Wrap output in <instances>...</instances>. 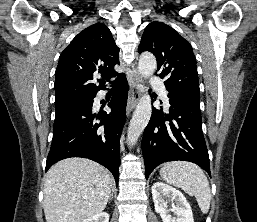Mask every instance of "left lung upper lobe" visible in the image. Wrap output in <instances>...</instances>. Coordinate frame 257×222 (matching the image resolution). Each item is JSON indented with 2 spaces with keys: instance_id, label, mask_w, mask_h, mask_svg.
I'll return each mask as SVG.
<instances>
[{
  "instance_id": "left-lung-upper-lobe-1",
  "label": "left lung upper lobe",
  "mask_w": 257,
  "mask_h": 222,
  "mask_svg": "<svg viewBox=\"0 0 257 222\" xmlns=\"http://www.w3.org/2000/svg\"><path fill=\"white\" fill-rule=\"evenodd\" d=\"M139 53L152 52L156 56L158 76L168 91L200 101L196 58L191 45L173 28L150 23L143 33Z\"/></svg>"
}]
</instances>
